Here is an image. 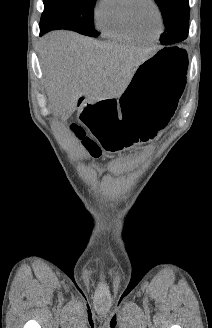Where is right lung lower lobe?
I'll use <instances>...</instances> for the list:
<instances>
[{"instance_id":"obj_1","label":"right lung lower lobe","mask_w":212,"mask_h":328,"mask_svg":"<svg viewBox=\"0 0 212 328\" xmlns=\"http://www.w3.org/2000/svg\"><path fill=\"white\" fill-rule=\"evenodd\" d=\"M47 31L45 30V29H43V28H40V34L42 35V34H44V33H46Z\"/></svg>"}]
</instances>
